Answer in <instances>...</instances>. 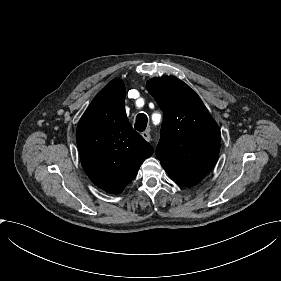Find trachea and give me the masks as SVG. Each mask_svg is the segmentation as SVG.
<instances>
[{"mask_svg": "<svg viewBox=\"0 0 281 281\" xmlns=\"http://www.w3.org/2000/svg\"><path fill=\"white\" fill-rule=\"evenodd\" d=\"M148 118L144 113H140L136 116L135 129L137 131H144L147 127Z\"/></svg>", "mask_w": 281, "mask_h": 281, "instance_id": "1", "label": "trachea"}]
</instances>
